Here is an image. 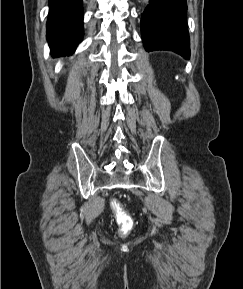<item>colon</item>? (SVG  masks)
I'll return each mask as SVG.
<instances>
[{"instance_id": "1", "label": "colon", "mask_w": 243, "mask_h": 289, "mask_svg": "<svg viewBox=\"0 0 243 289\" xmlns=\"http://www.w3.org/2000/svg\"><path fill=\"white\" fill-rule=\"evenodd\" d=\"M111 208L119 225V233L122 236L127 235L133 228V220L131 216L127 213V211L123 208L117 199H113L111 201Z\"/></svg>"}]
</instances>
